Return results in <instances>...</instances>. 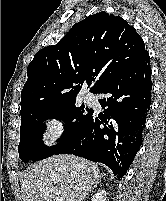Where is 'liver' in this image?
<instances>
[{
	"label": "liver",
	"instance_id": "6515ba94",
	"mask_svg": "<svg viewBox=\"0 0 166 201\" xmlns=\"http://www.w3.org/2000/svg\"><path fill=\"white\" fill-rule=\"evenodd\" d=\"M100 176L93 162L66 154L52 156L22 174V201H82Z\"/></svg>",
	"mask_w": 166,
	"mask_h": 201
}]
</instances>
